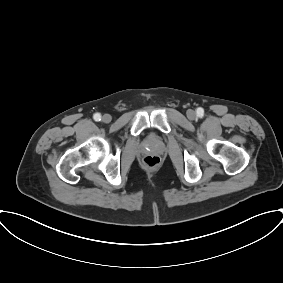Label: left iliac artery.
I'll use <instances>...</instances> for the list:
<instances>
[{"instance_id":"left-iliac-artery-1","label":"left iliac artery","mask_w":283,"mask_h":283,"mask_svg":"<svg viewBox=\"0 0 283 283\" xmlns=\"http://www.w3.org/2000/svg\"><path fill=\"white\" fill-rule=\"evenodd\" d=\"M197 115H198L199 117H203V115H204V110H203V108L199 107V108L197 109Z\"/></svg>"}]
</instances>
